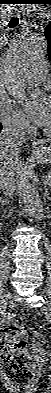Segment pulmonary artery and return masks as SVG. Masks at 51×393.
Here are the masks:
<instances>
[{"label":"pulmonary artery","mask_w":51,"mask_h":393,"mask_svg":"<svg viewBox=\"0 0 51 393\" xmlns=\"http://www.w3.org/2000/svg\"><path fill=\"white\" fill-rule=\"evenodd\" d=\"M46 69L47 67L45 64L35 63L31 67L30 71L25 74L24 78L28 83L32 85L39 84L46 79Z\"/></svg>","instance_id":"e3ab8cb5"}]
</instances>
